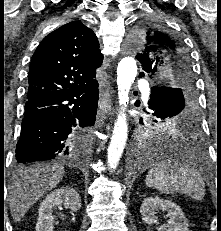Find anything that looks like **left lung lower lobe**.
I'll use <instances>...</instances> for the list:
<instances>
[{
    "label": "left lung lower lobe",
    "mask_w": 221,
    "mask_h": 231,
    "mask_svg": "<svg viewBox=\"0 0 221 231\" xmlns=\"http://www.w3.org/2000/svg\"><path fill=\"white\" fill-rule=\"evenodd\" d=\"M172 91L164 87L154 86L151 88V96L149 104L159 105L161 100L173 99ZM200 126L195 120H188L183 124H179L177 130H170L168 133H163L162 137L153 141L150 149H135L132 152V158L144 161H152L162 155V150L157 148V143L160 141L166 146L173 147L177 151H183L186 156L195 157L200 141Z\"/></svg>",
    "instance_id": "1"
}]
</instances>
